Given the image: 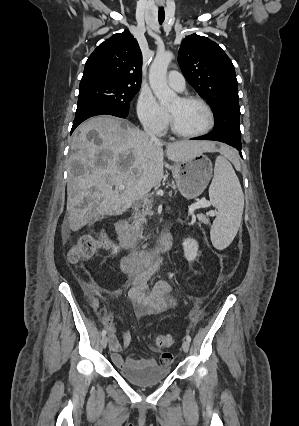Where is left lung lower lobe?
<instances>
[{"label": "left lung lower lobe", "mask_w": 299, "mask_h": 426, "mask_svg": "<svg viewBox=\"0 0 299 426\" xmlns=\"http://www.w3.org/2000/svg\"><path fill=\"white\" fill-rule=\"evenodd\" d=\"M192 139H194V140L220 141V142L226 143V144L236 148L237 150L241 151V143L240 142L233 140V139H230V138L222 137V136H214L212 134H208V135H204V136H200V137H195V138H192ZM241 156H242V154H241Z\"/></svg>", "instance_id": "1"}]
</instances>
